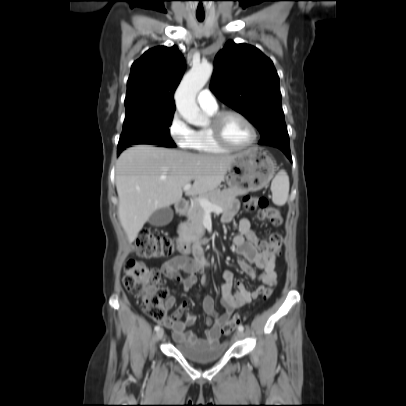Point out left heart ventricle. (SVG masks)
I'll use <instances>...</instances> for the list:
<instances>
[{
  "label": "left heart ventricle",
  "instance_id": "left-heart-ventricle-1",
  "mask_svg": "<svg viewBox=\"0 0 406 406\" xmlns=\"http://www.w3.org/2000/svg\"><path fill=\"white\" fill-rule=\"evenodd\" d=\"M225 140L234 146H243L249 143L252 137L249 127L238 117L228 115L222 124Z\"/></svg>",
  "mask_w": 406,
  "mask_h": 406
}]
</instances>
